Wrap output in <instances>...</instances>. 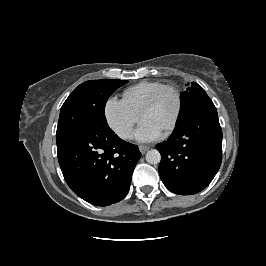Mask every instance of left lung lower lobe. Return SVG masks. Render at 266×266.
<instances>
[{
  "label": "left lung lower lobe",
  "mask_w": 266,
  "mask_h": 266,
  "mask_svg": "<svg viewBox=\"0 0 266 266\" xmlns=\"http://www.w3.org/2000/svg\"><path fill=\"white\" fill-rule=\"evenodd\" d=\"M156 148L161 153L159 174L167 189L191 195L206 188L222 161V130L213 102L193 108Z\"/></svg>",
  "instance_id": "1"
}]
</instances>
